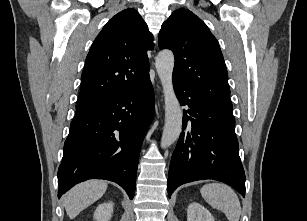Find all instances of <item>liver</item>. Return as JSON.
Here are the masks:
<instances>
[{
	"label": "liver",
	"instance_id": "6515ba94",
	"mask_svg": "<svg viewBox=\"0 0 307 221\" xmlns=\"http://www.w3.org/2000/svg\"><path fill=\"white\" fill-rule=\"evenodd\" d=\"M107 190L102 180H88L73 187L64 197V206L70 219H74L82 210L100 199Z\"/></svg>",
	"mask_w": 307,
	"mask_h": 221
}]
</instances>
